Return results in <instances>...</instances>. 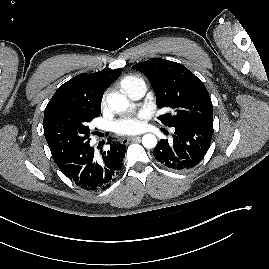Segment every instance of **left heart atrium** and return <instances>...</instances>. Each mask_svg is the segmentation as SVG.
<instances>
[{
	"mask_svg": "<svg viewBox=\"0 0 269 269\" xmlns=\"http://www.w3.org/2000/svg\"><path fill=\"white\" fill-rule=\"evenodd\" d=\"M144 114L141 113L136 117L125 118L115 124L114 130L119 135H131L139 132L142 128V119Z\"/></svg>",
	"mask_w": 269,
	"mask_h": 269,
	"instance_id": "left-heart-atrium-1",
	"label": "left heart atrium"
}]
</instances>
